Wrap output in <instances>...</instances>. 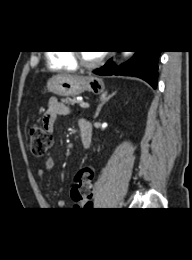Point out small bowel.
<instances>
[{
    "label": "small bowel",
    "instance_id": "1",
    "mask_svg": "<svg viewBox=\"0 0 192 260\" xmlns=\"http://www.w3.org/2000/svg\"><path fill=\"white\" fill-rule=\"evenodd\" d=\"M68 108L62 104L56 97H51L48 101L47 109L42 118V124L51 133L54 129V124L59 115H66L68 113ZM55 168V160L53 158H48L45 161L44 167L37 170L39 177H44L47 171H51ZM78 206L79 203L75 202ZM66 204L64 201H59L57 203V208L63 209Z\"/></svg>",
    "mask_w": 192,
    "mask_h": 260
}]
</instances>
